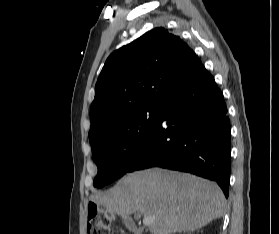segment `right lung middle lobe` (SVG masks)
<instances>
[{"instance_id":"right-lung-middle-lobe-1","label":"right lung middle lobe","mask_w":279,"mask_h":234,"mask_svg":"<svg viewBox=\"0 0 279 234\" xmlns=\"http://www.w3.org/2000/svg\"><path fill=\"white\" fill-rule=\"evenodd\" d=\"M160 109L150 108L124 116L109 133L90 143L98 166L95 187H103L129 171L155 130Z\"/></svg>"}]
</instances>
